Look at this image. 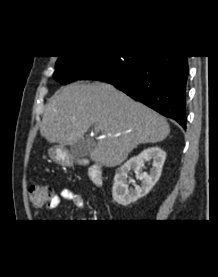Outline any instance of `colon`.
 Instances as JSON below:
<instances>
[{
    "label": "colon",
    "mask_w": 218,
    "mask_h": 277,
    "mask_svg": "<svg viewBox=\"0 0 218 277\" xmlns=\"http://www.w3.org/2000/svg\"><path fill=\"white\" fill-rule=\"evenodd\" d=\"M31 203L37 209H41L49 204L53 198V190L46 184H32L29 189Z\"/></svg>",
    "instance_id": "1"
}]
</instances>
